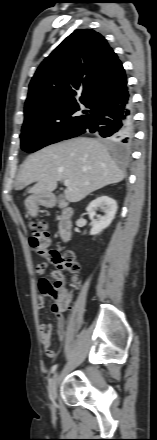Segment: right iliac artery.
I'll return each instance as SVG.
<instances>
[{
    "instance_id": "right-iliac-artery-1",
    "label": "right iliac artery",
    "mask_w": 157,
    "mask_h": 440,
    "mask_svg": "<svg viewBox=\"0 0 157 440\" xmlns=\"http://www.w3.org/2000/svg\"><path fill=\"white\" fill-rule=\"evenodd\" d=\"M57 367H58V364L53 365L51 368V372L54 373L56 371Z\"/></svg>"
}]
</instances>
